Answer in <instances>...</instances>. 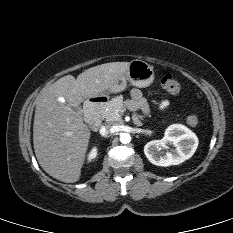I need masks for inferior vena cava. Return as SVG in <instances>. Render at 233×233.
Returning <instances> with one entry per match:
<instances>
[{
  "label": "inferior vena cava",
  "mask_w": 233,
  "mask_h": 233,
  "mask_svg": "<svg viewBox=\"0 0 233 233\" xmlns=\"http://www.w3.org/2000/svg\"><path fill=\"white\" fill-rule=\"evenodd\" d=\"M115 131H116L115 127L110 125V124H106L105 126H102L100 128V134L102 136H106L108 134H113V133H115Z\"/></svg>",
  "instance_id": "obj_1"
}]
</instances>
